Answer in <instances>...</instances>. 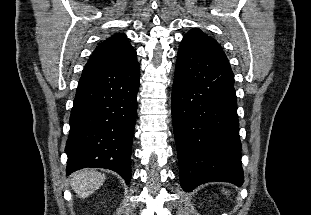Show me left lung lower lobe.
Segmentation results:
<instances>
[{
  "instance_id": "0a47b994",
  "label": "left lung lower lobe",
  "mask_w": 311,
  "mask_h": 215,
  "mask_svg": "<svg viewBox=\"0 0 311 215\" xmlns=\"http://www.w3.org/2000/svg\"><path fill=\"white\" fill-rule=\"evenodd\" d=\"M172 121L184 191L223 181L241 186L234 74L217 42L184 36L172 89Z\"/></svg>"
}]
</instances>
